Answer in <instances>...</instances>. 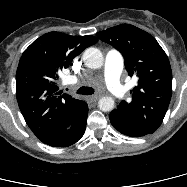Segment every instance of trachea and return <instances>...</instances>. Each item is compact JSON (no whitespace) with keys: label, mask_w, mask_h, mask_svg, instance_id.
<instances>
[{"label":"trachea","mask_w":187,"mask_h":187,"mask_svg":"<svg viewBox=\"0 0 187 187\" xmlns=\"http://www.w3.org/2000/svg\"><path fill=\"white\" fill-rule=\"evenodd\" d=\"M93 93H94V89L91 87L83 86L77 90V94H82V95H92Z\"/></svg>","instance_id":"trachea-1"}]
</instances>
